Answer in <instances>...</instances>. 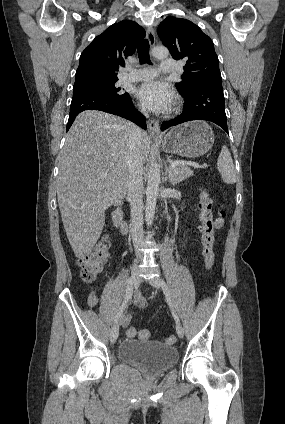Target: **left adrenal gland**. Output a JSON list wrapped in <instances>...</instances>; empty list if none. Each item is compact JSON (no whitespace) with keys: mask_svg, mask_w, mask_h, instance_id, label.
Returning <instances> with one entry per match:
<instances>
[{"mask_svg":"<svg viewBox=\"0 0 285 424\" xmlns=\"http://www.w3.org/2000/svg\"><path fill=\"white\" fill-rule=\"evenodd\" d=\"M168 168L166 167V171H165V181H169V179H168Z\"/></svg>","mask_w":285,"mask_h":424,"instance_id":"1","label":"left adrenal gland"}]
</instances>
